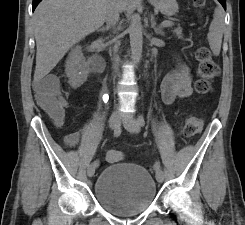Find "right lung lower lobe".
Masks as SVG:
<instances>
[{
	"label": "right lung lower lobe",
	"instance_id": "1",
	"mask_svg": "<svg viewBox=\"0 0 245 225\" xmlns=\"http://www.w3.org/2000/svg\"><path fill=\"white\" fill-rule=\"evenodd\" d=\"M42 0H33V10L36 8V6L41 2Z\"/></svg>",
	"mask_w": 245,
	"mask_h": 225
}]
</instances>
